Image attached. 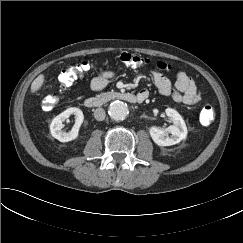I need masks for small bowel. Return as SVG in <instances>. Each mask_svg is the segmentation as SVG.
<instances>
[{"label": "small bowel", "mask_w": 243, "mask_h": 243, "mask_svg": "<svg viewBox=\"0 0 243 243\" xmlns=\"http://www.w3.org/2000/svg\"><path fill=\"white\" fill-rule=\"evenodd\" d=\"M113 76L114 73L112 71L100 73L92 79L90 84L91 89L93 91L104 89ZM151 76L159 93L163 96H170L177 103L195 105L201 100V94L194 81L183 71L177 73L174 89H172L170 80L163 73L152 71ZM138 94L144 96L146 99L149 96V91L143 89Z\"/></svg>", "instance_id": "small-bowel-1"}]
</instances>
